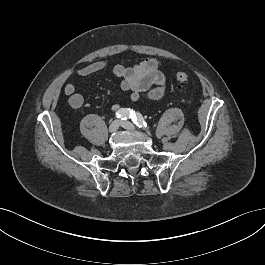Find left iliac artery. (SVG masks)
I'll return each instance as SVG.
<instances>
[{"label": "left iliac artery", "instance_id": "obj_1", "mask_svg": "<svg viewBox=\"0 0 265 265\" xmlns=\"http://www.w3.org/2000/svg\"><path fill=\"white\" fill-rule=\"evenodd\" d=\"M134 124H136L139 128H146L147 123L144 121L142 115L140 113H133L131 117Z\"/></svg>", "mask_w": 265, "mask_h": 265}]
</instances>
